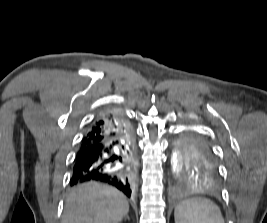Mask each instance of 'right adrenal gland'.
<instances>
[{
  "instance_id": "1",
  "label": "right adrenal gland",
  "mask_w": 267,
  "mask_h": 223,
  "mask_svg": "<svg viewBox=\"0 0 267 223\" xmlns=\"http://www.w3.org/2000/svg\"><path fill=\"white\" fill-rule=\"evenodd\" d=\"M126 218L129 220V216H126Z\"/></svg>"
}]
</instances>
